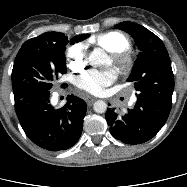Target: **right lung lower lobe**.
Segmentation results:
<instances>
[{"label": "right lung lower lobe", "instance_id": "right-lung-lower-lobe-1", "mask_svg": "<svg viewBox=\"0 0 187 187\" xmlns=\"http://www.w3.org/2000/svg\"><path fill=\"white\" fill-rule=\"evenodd\" d=\"M50 91L30 94L15 101V110L28 138L49 151L66 150L81 136L86 114L84 100L69 95L65 106L55 109L49 103Z\"/></svg>", "mask_w": 187, "mask_h": 187}]
</instances>
